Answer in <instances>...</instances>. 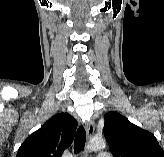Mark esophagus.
<instances>
[{"label": "esophagus", "mask_w": 164, "mask_h": 157, "mask_svg": "<svg viewBox=\"0 0 164 157\" xmlns=\"http://www.w3.org/2000/svg\"><path fill=\"white\" fill-rule=\"evenodd\" d=\"M94 130H95V124L93 121H89L86 124V132L89 138H91L94 134Z\"/></svg>", "instance_id": "34e87169"}]
</instances>
